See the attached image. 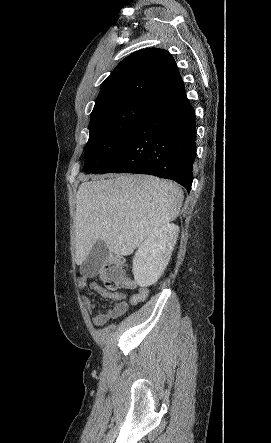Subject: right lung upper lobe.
I'll return each instance as SVG.
<instances>
[{"label": "right lung upper lobe", "instance_id": "1", "mask_svg": "<svg viewBox=\"0 0 271 443\" xmlns=\"http://www.w3.org/2000/svg\"><path fill=\"white\" fill-rule=\"evenodd\" d=\"M184 85L172 55L147 48L122 60L102 83L94 108L124 99L155 103L184 93Z\"/></svg>", "mask_w": 271, "mask_h": 443}]
</instances>
